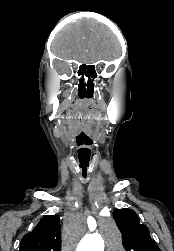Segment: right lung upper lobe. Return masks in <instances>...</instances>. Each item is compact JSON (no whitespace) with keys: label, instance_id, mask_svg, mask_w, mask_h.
Listing matches in <instances>:
<instances>
[{"label":"right lung upper lobe","instance_id":"right-lung-upper-lobe-1","mask_svg":"<svg viewBox=\"0 0 174 251\" xmlns=\"http://www.w3.org/2000/svg\"><path fill=\"white\" fill-rule=\"evenodd\" d=\"M19 251H61L59 217H43L33 231L22 238Z\"/></svg>","mask_w":174,"mask_h":251}]
</instances>
